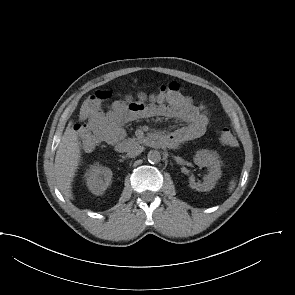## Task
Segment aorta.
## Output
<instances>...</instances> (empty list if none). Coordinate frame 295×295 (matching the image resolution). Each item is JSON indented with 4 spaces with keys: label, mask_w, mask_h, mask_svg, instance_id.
<instances>
[{
    "label": "aorta",
    "mask_w": 295,
    "mask_h": 295,
    "mask_svg": "<svg viewBox=\"0 0 295 295\" xmlns=\"http://www.w3.org/2000/svg\"><path fill=\"white\" fill-rule=\"evenodd\" d=\"M148 161L152 164L158 163L161 160L160 152L157 150H151L147 154Z\"/></svg>",
    "instance_id": "762f6f07"
}]
</instances>
